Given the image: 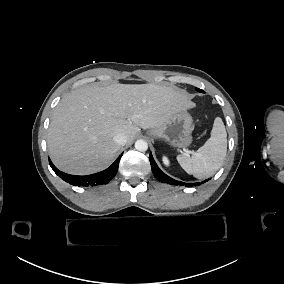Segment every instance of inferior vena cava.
Instances as JSON below:
<instances>
[{
	"mask_svg": "<svg viewBox=\"0 0 284 284\" xmlns=\"http://www.w3.org/2000/svg\"><path fill=\"white\" fill-rule=\"evenodd\" d=\"M114 141L120 145H125L127 142V137L124 133H118L114 136Z\"/></svg>",
	"mask_w": 284,
	"mask_h": 284,
	"instance_id": "inferior-vena-cava-1",
	"label": "inferior vena cava"
}]
</instances>
